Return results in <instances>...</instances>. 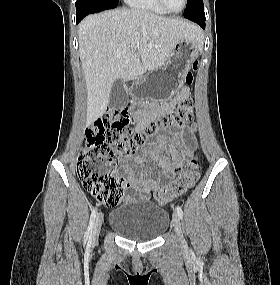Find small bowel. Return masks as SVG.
<instances>
[{
  "instance_id": "1",
  "label": "small bowel",
  "mask_w": 280,
  "mask_h": 285,
  "mask_svg": "<svg viewBox=\"0 0 280 285\" xmlns=\"http://www.w3.org/2000/svg\"><path fill=\"white\" fill-rule=\"evenodd\" d=\"M189 96V89L183 88L173 100L163 107L156 109L152 116L161 112H168L173 107ZM149 118L144 117L136 124V132L146 127ZM196 149V141L193 131L189 128L172 133L171 139L163 135L156 142L150 143L142 149L143 155H133L132 162L137 165H144L147 161L153 162L155 168L146 167L140 175H137L132 163L123 159L120 163L122 171L126 174L123 185L122 196L132 201L148 200L152 192L158 190L164 180H169L180 173ZM159 175L153 177L155 171Z\"/></svg>"
}]
</instances>
